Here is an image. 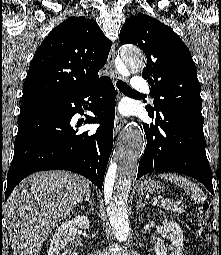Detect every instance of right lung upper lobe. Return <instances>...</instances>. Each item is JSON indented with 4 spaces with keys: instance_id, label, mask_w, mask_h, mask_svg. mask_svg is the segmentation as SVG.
Here are the masks:
<instances>
[{
    "instance_id": "cb5924a9",
    "label": "right lung upper lobe",
    "mask_w": 221,
    "mask_h": 255,
    "mask_svg": "<svg viewBox=\"0 0 221 255\" xmlns=\"http://www.w3.org/2000/svg\"><path fill=\"white\" fill-rule=\"evenodd\" d=\"M112 42L96 21L70 17L54 28L35 52L21 104L69 95L100 82Z\"/></svg>"
}]
</instances>
